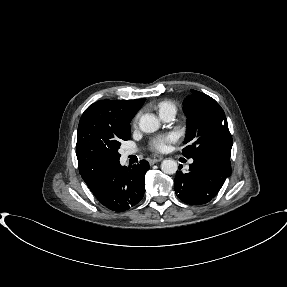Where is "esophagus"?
<instances>
[{
    "instance_id": "34e87169",
    "label": "esophagus",
    "mask_w": 287,
    "mask_h": 287,
    "mask_svg": "<svg viewBox=\"0 0 287 287\" xmlns=\"http://www.w3.org/2000/svg\"><path fill=\"white\" fill-rule=\"evenodd\" d=\"M162 159L163 158L161 156L160 157H156V158H152V159L149 160V163H150V165H153V164H155L157 162H160Z\"/></svg>"
}]
</instances>
